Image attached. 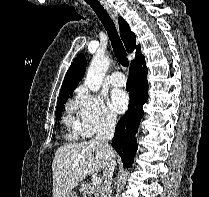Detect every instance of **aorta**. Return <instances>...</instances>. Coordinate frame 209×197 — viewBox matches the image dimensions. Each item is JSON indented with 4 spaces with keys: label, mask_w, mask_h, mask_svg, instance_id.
Returning a JSON list of instances; mask_svg holds the SVG:
<instances>
[{
    "label": "aorta",
    "mask_w": 209,
    "mask_h": 197,
    "mask_svg": "<svg viewBox=\"0 0 209 197\" xmlns=\"http://www.w3.org/2000/svg\"><path fill=\"white\" fill-rule=\"evenodd\" d=\"M110 66V59L104 55H95L85 78V85L93 92L99 91L103 78Z\"/></svg>",
    "instance_id": "aorta-1"
}]
</instances>
